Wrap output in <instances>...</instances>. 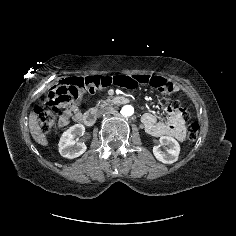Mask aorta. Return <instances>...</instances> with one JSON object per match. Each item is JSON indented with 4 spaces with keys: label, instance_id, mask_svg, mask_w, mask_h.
I'll list each match as a JSON object with an SVG mask.
<instances>
[{
    "label": "aorta",
    "instance_id": "aorta-1",
    "mask_svg": "<svg viewBox=\"0 0 236 236\" xmlns=\"http://www.w3.org/2000/svg\"><path fill=\"white\" fill-rule=\"evenodd\" d=\"M134 113V108L131 105H124L119 112L122 117H129Z\"/></svg>",
    "mask_w": 236,
    "mask_h": 236
}]
</instances>
